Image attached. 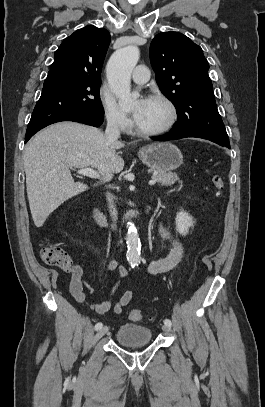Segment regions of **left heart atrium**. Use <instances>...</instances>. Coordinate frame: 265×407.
Segmentation results:
<instances>
[{"label":"left heart atrium","instance_id":"39dd6f15","mask_svg":"<svg viewBox=\"0 0 265 407\" xmlns=\"http://www.w3.org/2000/svg\"><path fill=\"white\" fill-rule=\"evenodd\" d=\"M145 103H146V99L141 100L139 102V105H138L137 109L134 111V119L135 120L140 116V114H141V112H142V110H143V108L145 106Z\"/></svg>","mask_w":265,"mask_h":407}]
</instances>
